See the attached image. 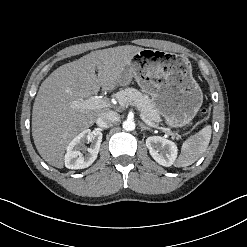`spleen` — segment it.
I'll return each instance as SVG.
<instances>
[{
	"mask_svg": "<svg viewBox=\"0 0 247 247\" xmlns=\"http://www.w3.org/2000/svg\"><path fill=\"white\" fill-rule=\"evenodd\" d=\"M211 134V126L207 125L183 142L181 153L176 161V167H186L196 162L207 150Z\"/></svg>",
	"mask_w": 247,
	"mask_h": 247,
	"instance_id": "1",
	"label": "spleen"
}]
</instances>
